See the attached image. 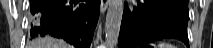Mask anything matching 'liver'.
<instances>
[{"mask_svg":"<svg viewBox=\"0 0 213 48\" xmlns=\"http://www.w3.org/2000/svg\"><path fill=\"white\" fill-rule=\"evenodd\" d=\"M28 48H73L71 45L62 40H57L51 37L38 38L33 40Z\"/></svg>","mask_w":213,"mask_h":48,"instance_id":"1","label":"liver"}]
</instances>
